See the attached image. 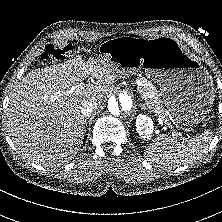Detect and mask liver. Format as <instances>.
<instances>
[{"label": "liver", "mask_w": 222, "mask_h": 222, "mask_svg": "<svg viewBox=\"0 0 222 222\" xmlns=\"http://www.w3.org/2000/svg\"><path fill=\"white\" fill-rule=\"evenodd\" d=\"M89 76L96 81L84 83ZM116 79L107 63L80 55L29 72L11 92L5 112L17 149L45 167L71 160L85 134L83 103L93 99L100 104Z\"/></svg>", "instance_id": "6515ba94"}]
</instances>
